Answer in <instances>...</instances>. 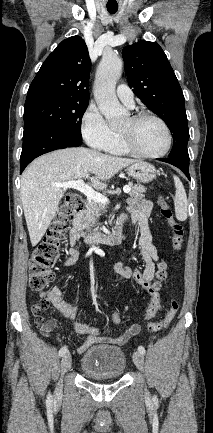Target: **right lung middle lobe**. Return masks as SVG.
Segmentation results:
<instances>
[{"label": "right lung middle lobe", "mask_w": 213, "mask_h": 433, "mask_svg": "<svg viewBox=\"0 0 213 433\" xmlns=\"http://www.w3.org/2000/svg\"><path fill=\"white\" fill-rule=\"evenodd\" d=\"M89 100L56 96H35L26 98L24 124L39 121L67 132L77 139L81 136V119Z\"/></svg>", "instance_id": "dd1d6c3e"}]
</instances>
